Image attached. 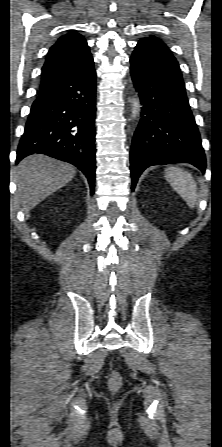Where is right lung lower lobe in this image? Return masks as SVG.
Masks as SVG:
<instances>
[{
	"mask_svg": "<svg viewBox=\"0 0 222 447\" xmlns=\"http://www.w3.org/2000/svg\"><path fill=\"white\" fill-rule=\"evenodd\" d=\"M96 72L91 58L76 74L33 102L17 162L41 153L69 162L87 177L94 193Z\"/></svg>",
	"mask_w": 222,
	"mask_h": 447,
	"instance_id": "98d812e1",
	"label": "right lung lower lobe"
}]
</instances>
